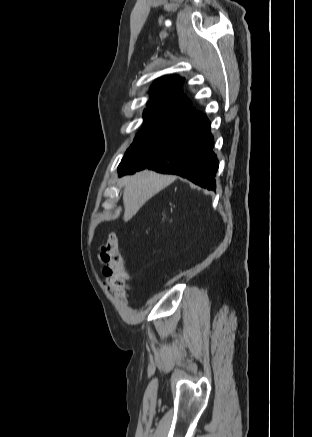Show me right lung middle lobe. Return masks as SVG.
Wrapping results in <instances>:
<instances>
[{"instance_id": "1", "label": "right lung middle lobe", "mask_w": 312, "mask_h": 437, "mask_svg": "<svg viewBox=\"0 0 312 437\" xmlns=\"http://www.w3.org/2000/svg\"><path fill=\"white\" fill-rule=\"evenodd\" d=\"M201 115L177 108L153 106L144 111V126L126 154L159 147L190 128Z\"/></svg>"}]
</instances>
